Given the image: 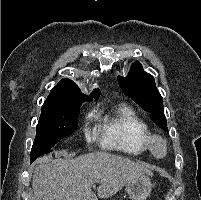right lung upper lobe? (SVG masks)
<instances>
[{
    "instance_id": "cb5924a9",
    "label": "right lung upper lobe",
    "mask_w": 201,
    "mask_h": 200,
    "mask_svg": "<svg viewBox=\"0 0 201 200\" xmlns=\"http://www.w3.org/2000/svg\"><path fill=\"white\" fill-rule=\"evenodd\" d=\"M92 97L97 99L100 96L99 89L92 92ZM92 97L81 93L78 86L69 79H62L49 94L47 100L51 101H85L91 100Z\"/></svg>"
}]
</instances>
